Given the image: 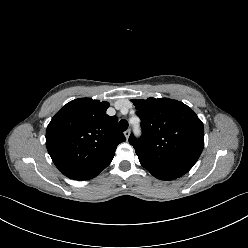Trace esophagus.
I'll list each match as a JSON object with an SVG mask.
<instances>
[{"mask_svg":"<svg viewBox=\"0 0 248 248\" xmlns=\"http://www.w3.org/2000/svg\"><path fill=\"white\" fill-rule=\"evenodd\" d=\"M124 136L126 139L129 138V136H130V130L129 129L124 132Z\"/></svg>","mask_w":248,"mask_h":248,"instance_id":"obj_1","label":"esophagus"}]
</instances>
